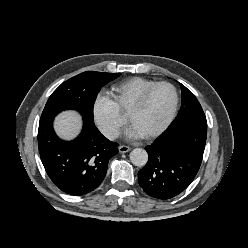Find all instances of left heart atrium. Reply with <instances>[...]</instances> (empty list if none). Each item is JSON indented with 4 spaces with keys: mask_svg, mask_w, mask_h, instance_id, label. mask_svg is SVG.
Listing matches in <instances>:
<instances>
[{
    "mask_svg": "<svg viewBox=\"0 0 248 248\" xmlns=\"http://www.w3.org/2000/svg\"><path fill=\"white\" fill-rule=\"evenodd\" d=\"M127 138L129 139H139L143 137V135L133 126L126 133Z\"/></svg>",
    "mask_w": 248,
    "mask_h": 248,
    "instance_id": "39dd6f15",
    "label": "left heart atrium"
}]
</instances>
